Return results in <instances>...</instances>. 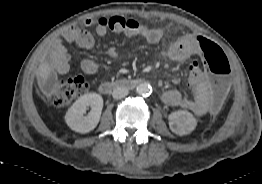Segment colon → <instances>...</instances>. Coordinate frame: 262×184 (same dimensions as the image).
<instances>
[{
    "mask_svg": "<svg viewBox=\"0 0 262 184\" xmlns=\"http://www.w3.org/2000/svg\"><path fill=\"white\" fill-rule=\"evenodd\" d=\"M98 25L116 34L136 31L139 23L123 17L102 18ZM201 50L200 63L207 72L205 79L208 102L213 112L219 113L225 104L229 91L230 63L224 51L215 43L198 39ZM87 84L80 77L62 80L52 92V102L57 106L67 105L85 94Z\"/></svg>",
    "mask_w": 262,
    "mask_h": 184,
    "instance_id": "obj_1",
    "label": "colon"
}]
</instances>
